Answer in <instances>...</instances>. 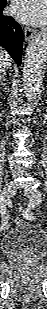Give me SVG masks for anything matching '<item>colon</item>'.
<instances>
[{"mask_svg":"<svg viewBox=\"0 0 47 309\" xmlns=\"http://www.w3.org/2000/svg\"><path fill=\"white\" fill-rule=\"evenodd\" d=\"M32 215L33 214H32V212L30 210L27 209V210L24 211V217L25 218L30 219L32 217ZM20 221H21L20 219H16L17 223H20Z\"/></svg>","mask_w":47,"mask_h":309,"instance_id":"colon-1","label":"colon"}]
</instances>
